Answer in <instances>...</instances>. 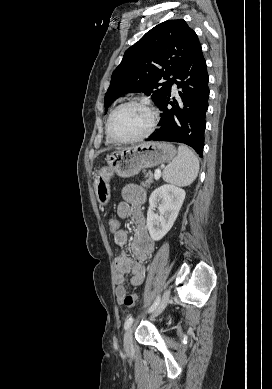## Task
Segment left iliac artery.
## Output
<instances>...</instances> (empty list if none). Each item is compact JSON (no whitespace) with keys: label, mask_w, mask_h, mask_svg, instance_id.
<instances>
[{"label":"left iliac artery","mask_w":272,"mask_h":389,"mask_svg":"<svg viewBox=\"0 0 272 389\" xmlns=\"http://www.w3.org/2000/svg\"><path fill=\"white\" fill-rule=\"evenodd\" d=\"M159 302H160V297L158 296L156 298V300L154 301V303L152 304V306L149 308L148 313L153 312L157 308V306L159 305ZM133 321H134V318L129 317L124 323V329L127 330L132 325Z\"/></svg>","instance_id":"44dca946"}]
</instances>
